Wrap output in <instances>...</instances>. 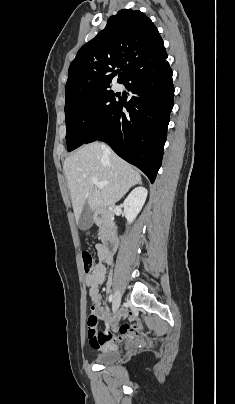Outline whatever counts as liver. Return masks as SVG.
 <instances>
[{
    "label": "liver",
    "mask_w": 235,
    "mask_h": 404,
    "mask_svg": "<svg viewBox=\"0 0 235 404\" xmlns=\"http://www.w3.org/2000/svg\"><path fill=\"white\" fill-rule=\"evenodd\" d=\"M63 169L77 221L86 203L91 211L113 205L141 183L139 172L101 142L83 145L65 159ZM92 177L107 185L97 188Z\"/></svg>",
    "instance_id": "obj_1"
}]
</instances>
